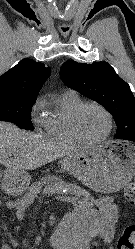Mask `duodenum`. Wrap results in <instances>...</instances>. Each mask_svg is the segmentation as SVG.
<instances>
[{"instance_id":"duodenum-1","label":"duodenum","mask_w":135,"mask_h":249,"mask_svg":"<svg viewBox=\"0 0 135 249\" xmlns=\"http://www.w3.org/2000/svg\"><path fill=\"white\" fill-rule=\"evenodd\" d=\"M89 241H90V237L84 234L74 239L67 240L63 245H65L64 249H73L77 246L80 247V249H86Z\"/></svg>"}]
</instances>
